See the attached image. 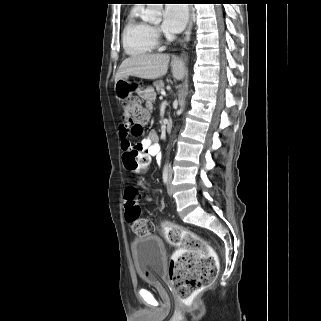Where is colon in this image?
Returning a JSON list of instances; mask_svg holds the SVG:
<instances>
[{
    "label": "colon",
    "mask_w": 321,
    "mask_h": 321,
    "mask_svg": "<svg viewBox=\"0 0 321 321\" xmlns=\"http://www.w3.org/2000/svg\"><path fill=\"white\" fill-rule=\"evenodd\" d=\"M149 118L147 108L137 98L122 102L121 119L134 136L143 133ZM149 157L133 150L124 156V165L130 172H141L148 168ZM125 218L132 231L137 235L153 232V223L140 217V193L132 186L124 191ZM162 231L167 242L176 246L174 257L169 266V277L178 298L190 300L198 292L209 286L218 273V259L214 250L197 234L172 222L162 223Z\"/></svg>",
    "instance_id": "5ec220e1"
}]
</instances>
